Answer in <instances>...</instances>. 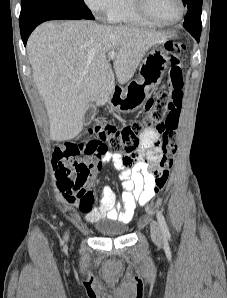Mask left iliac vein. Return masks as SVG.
I'll use <instances>...</instances> for the list:
<instances>
[{
	"label": "left iliac vein",
	"mask_w": 227,
	"mask_h": 298,
	"mask_svg": "<svg viewBox=\"0 0 227 298\" xmlns=\"http://www.w3.org/2000/svg\"><path fill=\"white\" fill-rule=\"evenodd\" d=\"M150 232L152 240L156 243H161L163 240L162 231L157 221L152 220L150 223Z\"/></svg>",
	"instance_id": "4c4485c4"
}]
</instances>
